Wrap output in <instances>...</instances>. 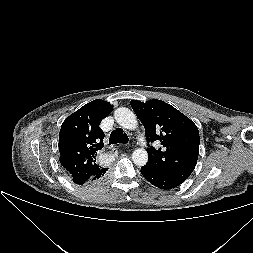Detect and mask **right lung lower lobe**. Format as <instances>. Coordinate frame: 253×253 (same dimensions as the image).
Instances as JSON below:
<instances>
[{
  "instance_id": "98d812e1",
  "label": "right lung lower lobe",
  "mask_w": 253,
  "mask_h": 253,
  "mask_svg": "<svg viewBox=\"0 0 253 253\" xmlns=\"http://www.w3.org/2000/svg\"><path fill=\"white\" fill-rule=\"evenodd\" d=\"M104 174H105V173L99 175L98 179H99L100 177H102ZM98 179H97V180H98ZM92 182H93V181H92ZM90 183H91V182H90ZM88 184H89V183H88Z\"/></svg>"
}]
</instances>
